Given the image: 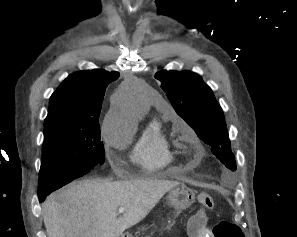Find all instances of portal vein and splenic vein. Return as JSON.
<instances>
[{
    "label": "portal vein and splenic vein",
    "instance_id": "18ae733b",
    "mask_svg": "<svg viewBox=\"0 0 297 237\" xmlns=\"http://www.w3.org/2000/svg\"><path fill=\"white\" fill-rule=\"evenodd\" d=\"M124 211H125V208H124V207H120L119 210H118V213L121 214V213H123Z\"/></svg>",
    "mask_w": 297,
    "mask_h": 237
}]
</instances>
